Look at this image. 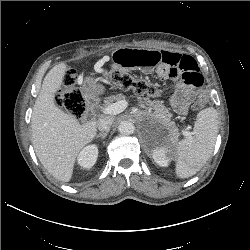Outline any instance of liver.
I'll list each match as a JSON object with an SVG mask.
<instances>
[{
  "label": "liver",
  "instance_id": "6515ba94",
  "mask_svg": "<svg viewBox=\"0 0 250 250\" xmlns=\"http://www.w3.org/2000/svg\"><path fill=\"white\" fill-rule=\"evenodd\" d=\"M67 65H55L45 76L31 117L32 144L44 168L57 180L69 182L76 157L97 133V121L80 124L55 105Z\"/></svg>",
  "mask_w": 250,
  "mask_h": 250
}]
</instances>
